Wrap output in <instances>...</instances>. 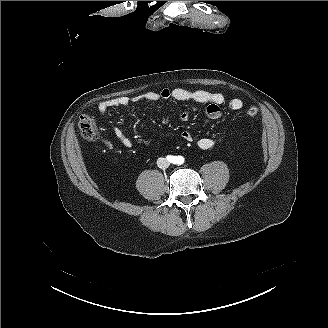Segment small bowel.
<instances>
[{"instance_id":"1","label":"small bowel","mask_w":328,"mask_h":328,"mask_svg":"<svg viewBox=\"0 0 328 328\" xmlns=\"http://www.w3.org/2000/svg\"><path fill=\"white\" fill-rule=\"evenodd\" d=\"M174 99L177 101H195L198 103L208 104L205 108V115L209 119H218L222 115V106L227 104L229 109L232 111H240L243 108V101L239 98L226 99L224 94L220 92H211L207 90H188L184 88H164L160 91H147L140 95L128 97L120 96L108 100L101 101L98 104V111L101 114L106 113L108 110L125 107L132 103L147 101L156 102L159 100ZM190 118V113L188 111H183L179 115V119L183 122L188 121ZM115 137L120 141V143L129 148L132 146V141L125 136L123 131L119 128L114 129ZM181 137L186 142H193L195 140L194 134L190 130H184L181 133ZM197 146L202 150H208L214 145L213 139L209 137H201L196 140ZM107 147L112 148L110 142H106Z\"/></svg>"}]
</instances>
